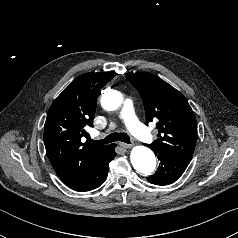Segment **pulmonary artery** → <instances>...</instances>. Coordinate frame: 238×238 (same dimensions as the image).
I'll use <instances>...</instances> for the list:
<instances>
[{"label":"pulmonary artery","instance_id":"1","mask_svg":"<svg viewBox=\"0 0 238 238\" xmlns=\"http://www.w3.org/2000/svg\"><path fill=\"white\" fill-rule=\"evenodd\" d=\"M120 117L125 122L128 129L133 133V135L146 142L152 141L151 134L138 120L134 111L133 101L130 98L125 100Z\"/></svg>","mask_w":238,"mask_h":238}]
</instances>
